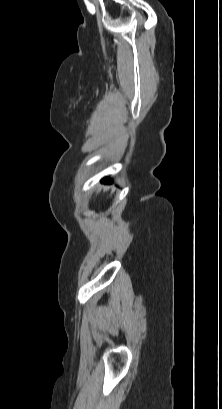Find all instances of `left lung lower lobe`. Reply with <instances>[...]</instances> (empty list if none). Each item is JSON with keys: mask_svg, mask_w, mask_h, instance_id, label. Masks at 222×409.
<instances>
[{"mask_svg": "<svg viewBox=\"0 0 222 409\" xmlns=\"http://www.w3.org/2000/svg\"><path fill=\"white\" fill-rule=\"evenodd\" d=\"M104 181H105V182H111V180L108 179V178H106Z\"/></svg>", "mask_w": 222, "mask_h": 409, "instance_id": "0a47b994", "label": "left lung lower lobe"}]
</instances>
